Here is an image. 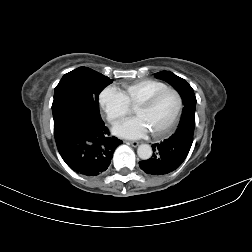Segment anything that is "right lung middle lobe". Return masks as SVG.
<instances>
[{
    "instance_id": "obj_1",
    "label": "right lung middle lobe",
    "mask_w": 252,
    "mask_h": 252,
    "mask_svg": "<svg viewBox=\"0 0 252 252\" xmlns=\"http://www.w3.org/2000/svg\"><path fill=\"white\" fill-rule=\"evenodd\" d=\"M112 81L87 67H80L65 74L54 91L53 117L61 112L73 110L101 119L98 96Z\"/></svg>"
}]
</instances>
